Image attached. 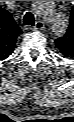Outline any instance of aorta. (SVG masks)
Masks as SVG:
<instances>
[{"instance_id": "aorta-1", "label": "aorta", "mask_w": 74, "mask_h": 122, "mask_svg": "<svg viewBox=\"0 0 74 122\" xmlns=\"http://www.w3.org/2000/svg\"><path fill=\"white\" fill-rule=\"evenodd\" d=\"M32 8L44 20L54 36L62 37L65 34L68 19L52 6V2L34 1Z\"/></svg>"}]
</instances>
